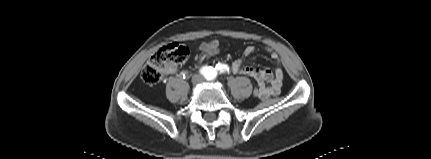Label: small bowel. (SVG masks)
<instances>
[{
  "instance_id": "1",
  "label": "small bowel",
  "mask_w": 431,
  "mask_h": 159,
  "mask_svg": "<svg viewBox=\"0 0 431 159\" xmlns=\"http://www.w3.org/2000/svg\"><path fill=\"white\" fill-rule=\"evenodd\" d=\"M210 48L220 49L219 41L211 40L204 42L199 46V51L206 55V50ZM267 50L271 53V58L275 61H278V55L270 48H267ZM254 53L255 47H246L242 53V56L239 59L233 61L229 69L235 74H242L253 78L257 83V88L260 89L258 98L265 100L272 96L278 95L281 91L284 77L282 69L280 67H276L274 70H261L245 65V61L248 60ZM168 71L175 72L176 68L172 67Z\"/></svg>"
}]
</instances>
